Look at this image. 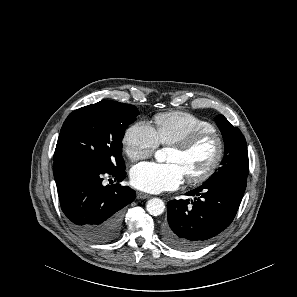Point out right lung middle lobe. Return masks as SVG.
I'll return each instance as SVG.
<instances>
[{
  "label": "right lung middle lobe",
  "instance_id": "dd1d6c3e",
  "mask_svg": "<svg viewBox=\"0 0 297 297\" xmlns=\"http://www.w3.org/2000/svg\"><path fill=\"white\" fill-rule=\"evenodd\" d=\"M140 114L134 105L98 102L73 111L65 120L53 160H76L106 172L125 169L122 139Z\"/></svg>",
  "mask_w": 297,
  "mask_h": 297
}]
</instances>
